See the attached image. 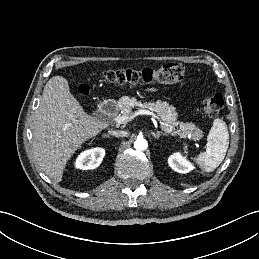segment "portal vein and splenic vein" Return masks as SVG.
<instances>
[{
	"label": "portal vein and splenic vein",
	"mask_w": 259,
	"mask_h": 259,
	"mask_svg": "<svg viewBox=\"0 0 259 259\" xmlns=\"http://www.w3.org/2000/svg\"><path fill=\"white\" fill-rule=\"evenodd\" d=\"M138 115H149L152 120H157L161 125L165 126V123L158 117V115H156L155 113L149 110H144V109L138 110L130 116L118 115L114 118V121L119 124H125L131 121L132 119H134Z\"/></svg>",
	"instance_id": "1"
}]
</instances>
